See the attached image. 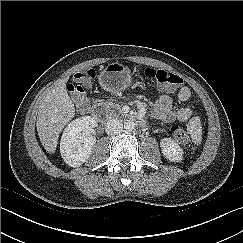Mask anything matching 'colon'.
I'll return each instance as SVG.
<instances>
[{"mask_svg":"<svg viewBox=\"0 0 243 243\" xmlns=\"http://www.w3.org/2000/svg\"><path fill=\"white\" fill-rule=\"evenodd\" d=\"M143 74L147 79L155 81L169 90H174L183 83L180 76L161 69L147 68L143 71ZM95 75L96 73L93 69L83 70L73 75L72 83L68 85V91L71 93L78 108H84L87 105L88 100L84 86L89 85ZM170 131L176 141L182 144L190 141L188 133L181 126L173 125Z\"/></svg>","mask_w":243,"mask_h":243,"instance_id":"obj_1","label":"colon"}]
</instances>
